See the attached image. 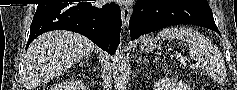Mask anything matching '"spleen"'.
<instances>
[{"label":"spleen","instance_id":"3e777b00","mask_svg":"<svg viewBox=\"0 0 237 90\" xmlns=\"http://www.w3.org/2000/svg\"><path fill=\"white\" fill-rule=\"evenodd\" d=\"M155 40H161V42L182 40V42H186L185 46L189 50L190 58L197 60V62H203L204 66H208L209 56L213 52V44L203 34L192 30V28H179V26L164 28L157 34Z\"/></svg>","mask_w":237,"mask_h":90}]
</instances>
